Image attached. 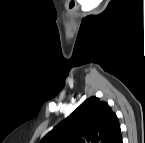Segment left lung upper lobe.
Wrapping results in <instances>:
<instances>
[{"mask_svg": "<svg viewBox=\"0 0 145 143\" xmlns=\"http://www.w3.org/2000/svg\"><path fill=\"white\" fill-rule=\"evenodd\" d=\"M121 137L117 116L97 97L85 100L41 143H116Z\"/></svg>", "mask_w": 145, "mask_h": 143, "instance_id": "1", "label": "left lung upper lobe"}]
</instances>
